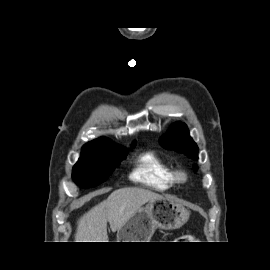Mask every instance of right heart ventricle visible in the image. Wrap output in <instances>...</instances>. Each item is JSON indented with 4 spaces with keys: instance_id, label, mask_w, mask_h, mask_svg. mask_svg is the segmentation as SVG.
<instances>
[{
    "instance_id": "1",
    "label": "right heart ventricle",
    "mask_w": 270,
    "mask_h": 270,
    "mask_svg": "<svg viewBox=\"0 0 270 270\" xmlns=\"http://www.w3.org/2000/svg\"><path fill=\"white\" fill-rule=\"evenodd\" d=\"M130 178L143 186L164 191L176 184L175 170L155 152L149 151L140 155Z\"/></svg>"
}]
</instances>
